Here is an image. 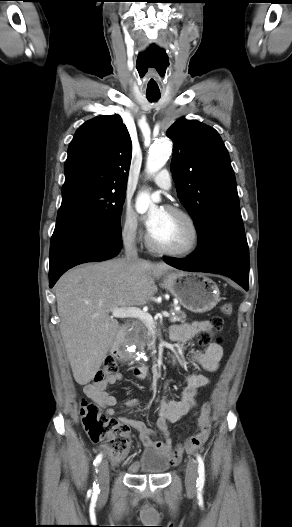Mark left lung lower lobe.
<instances>
[{"instance_id":"left-lung-lower-lobe-1","label":"left lung lower lobe","mask_w":292,"mask_h":527,"mask_svg":"<svg viewBox=\"0 0 292 527\" xmlns=\"http://www.w3.org/2000/svg\"><path fill=\"white\" fill-rule=\"evenodd\" d=\"M167 264L186 271L225 275L245 290L249 288V250L245 235H224L202 244L188 258H165Z\"/></svg>"}]
</instances>
